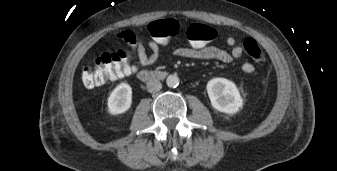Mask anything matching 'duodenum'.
<instances>
[{"instance_id": "410a0bca", "label": "duodenum", "mask_w": 337, "mask_h": 171, "mask_svg": "<svg viewBox=\"0 0 337 171\" xmlns=\"http://www.w3.org/2000/svg\"><path fill=\"white\" fill-rule=\"evenodd\" d=\"M164 77L165 73L162 71L145 70L139 73V78L143 81L162 80Z\"/></svg>"}]
</instances>
